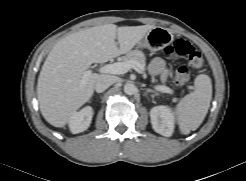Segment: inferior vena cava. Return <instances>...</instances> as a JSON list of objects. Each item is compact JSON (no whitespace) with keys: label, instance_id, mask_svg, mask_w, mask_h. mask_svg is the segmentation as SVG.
Masks as SVG:
<instances>
[{"label":"inferior vena cava","instance_id":"602c4592","mask_svg":"<svg viewBox=\"0 0 246 181\" xmlns=\"http://www.w3.org/2000/svg\"><path fill=\"white\" fill-rule=\"evenodd\" d=\"M116 82V78L111 75H100L95 83V91L97 93L104 92L108 87Z\"/></svg>","mask_w":246,"mask_h":181}]
</instances>
